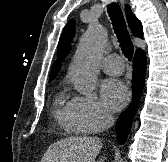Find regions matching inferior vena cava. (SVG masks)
<instances>
[{"label":"inferior vena cava","mask_w":168,"mask_h":162,"mask_svg":"<svg viewBox=\"0 0 168 162\" xmlns=\"http://www.w3.org/2000/svg\"><path fill=\"white\" fill-rule=\"evenodd\" d=\"M103 122L105 129H108L114 124V118L111 115L106 114L103 117Z\"/></svg>","instance_id":"obj_1"}]
</instances>
